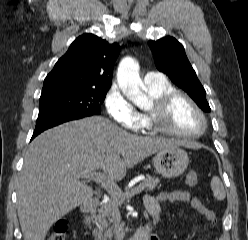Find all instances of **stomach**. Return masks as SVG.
I'll return each instance as SVG.
<instances>
[{
	"label": "stomach",
	"instance_id": "stomach-1",
	"mask_svg": "<svg viewBox=\"0 0 248 240\" xmlns=\"http://www.w3.org/2000/svg\"><path fill=\"white\" fill-rule=\"evenodd\" d=\"M156 171L165 178L180 176L189 165L186 151L179 146L160 150L153 158Z\"/></svg>",
	"mask_w": 248,
	"mask_h": 240
}]
</instances>
